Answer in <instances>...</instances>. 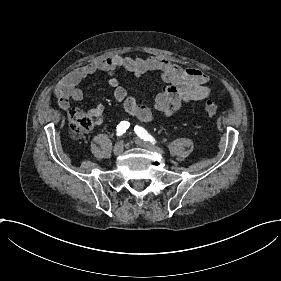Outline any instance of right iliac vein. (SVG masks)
<instances>
[{
	"label": "right iliac vein",
	"instance_id": "63e3f726",
	"mask_svg": "<svg viewBox=\"0 0 281 281\" xmlns=\"http://www.w3.org/2000/svg\"><path fill=\"white\" fill-rule=\"evenodd\" d=\"M114 154L120 155L123 152V145L120 142L115 143L114 145Z\"/></svg>",
	"mask_w": 281,
	"mask_h": 281
}]
</instances>
